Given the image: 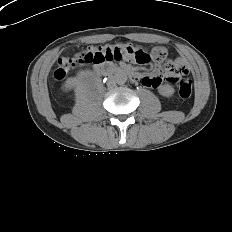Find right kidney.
<instances>
[{
  "instance_id": "ca27d5eb",
  "label": "right kidney",
  "mask_w": 232,
  "mask_h": 232,
  "mask_svg": "<svg viewBox=\"0 0 232 232\" xmlns=\"http://www.w3.org/2000/svg\"><path fill=\"white\" fill-rule=\"evenodd\" d=\"M76 84V81L75 80H68L65 84H64V86H63V89L64 90H70V89H72L73 88V86Z\"/></svg>"
}]
</instances>
